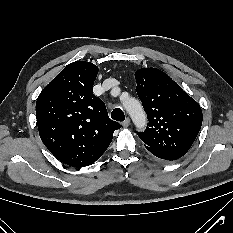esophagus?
Wrapping results in <instances>:
<instances>
[{
  "label": "esophagus",
  "mask_w": 233,
  "mask_h": 233,
  "mask_svg": "<svg viewBox=\"0 0 233 233\" xmlns=\"http://www.w3.org/2000/svg\"><path fill=\"white\" fill-rule=\"evenodd\" d=\"M130 125V119L129 118H126L123 122H122V126L123 127H128Z\"/></svg>",
  "instance_id": "34e87169"
}]
</instances>
